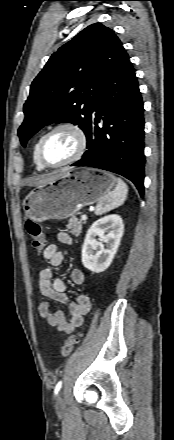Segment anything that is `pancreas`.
Listing matches in <instances>:
<instances>
[{
    "label": "pancreas",
    "mask_w": 174,
    "mask_h": 440,
    "mask_svg": "<svg viewBox=\"0 0 174 440\" xmlns=\"http://www.w3.org/2000/svg\"><path fill=\"white\" fill-rule=\"evenodd\" d=\"M83 224L84 222L73 216L69 219L66 227L70 231V233H72L76 237H79L82 232Z\"/></svg>",
    "instance_id": "cf45deb5"
}]
</instances>
